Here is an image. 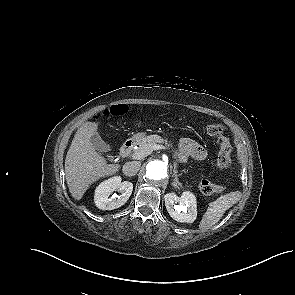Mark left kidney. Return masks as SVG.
<instances>
[{
    "mask_svg": "<svg viewBox=\"0 0 295 295\" xmlns=\"http://www.w3.org/2000/svg\"><path fill=\"white\" fill-rule=\"evenodd\" d=\"M165 206L169 215L177 222L193 223L197 217L196 197L190 191L178 197L175 193L164 196Z\"/></svg>",
    "mask_w": 295,
    "mask_h": 295,
    "instance_id": "1",
    "label": "left kidney"
}]
</instances>
